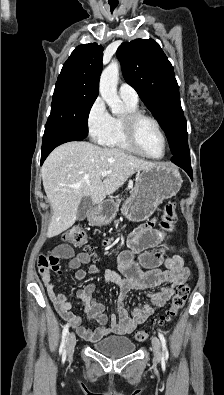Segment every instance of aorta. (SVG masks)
<instances>
[{
  "label": "aorta",
  "mask_w": 224,
  "mask_h": 395,
  "mask_svg": "<svg viewBox=\"0 0 224 395\" xmlns=\"http://www.w3.org/2000/svg\"><path fill=\"white\" fill-rule=\"evenodd\" d=\"M118 80L119 65L113 61L103 70L99 85L100 95L109 106L112 114H119L123 111V103L117 94Z\"/></svg>",
  "instance_id": "obj_1"
}]
</instances>
